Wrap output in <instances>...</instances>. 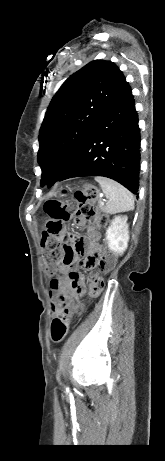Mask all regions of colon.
<instances>
[{"mask_svg": "<svg viewBox=\"0 0 165 461\" xmlns=\"http://www.w3.org/2000/svg\"><path fill=\"white\" fill-rule=\"evenodd\" d=\"M97 197V190L91 185H86L74 190L72 200H49L44 210L48 219L44 223L42 232V246L45 249L44 262L48 273L52 274L55 266L60 263L61 251L69 250L68 246L62 245L60 239L65 242L63 235L64 223L69 219L71 214L78 218L96 222L101 228L109 225V218L106 215H97L95 206L92 204ZM114 256L110 252L97 253L89 256L86 260L87 267H99L104 271L110 270L114 265ZM104 288L103 278L98 274H92L89 282L88 296L97 297ZM83 305L78 304L75 307V314L83 312ZM68 333V323L63 316L55 318L51 324V338L54 342H61Z\"/></svg>", "mask_w": 165, "mask_h": 461, "instance_id": "1", "label": "colon"}]
</instances>
